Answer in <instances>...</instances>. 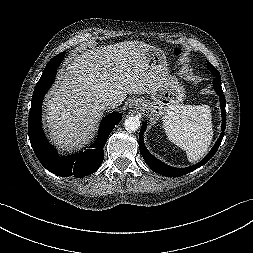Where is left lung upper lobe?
Returning <instances> with one entry per match:
<instances>
[{
	"label": "left lung upper lobe",
	"instance_id": "left-lung-upper-lobe-1",
	"mask_svg": "<svg viewBox=\"0 0 253 253\" xmlns=\"http://www.w3.org/2000/svg\"><path fill=\"white\" fill-rule=\"evenodd\" d=\"M208 68L209 70H216V68H214L210 63H208Z\"/></svg>",
	"mask_w": 253,
	"mask_h": 253
}]
</instances>
